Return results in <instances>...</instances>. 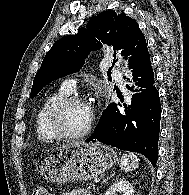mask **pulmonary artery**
<instances>
[{
	"label": "pulmonary artery",
	"instance_id": "obj_1",
	"mask_svg": "<svg viewBox=\"0 0 189 195\" xmlns=\"http://www.w3.org/2000/svg\"><path fill=\"white\" fill-rule=\"evenodd\" d=\"M76 80L75 79H66L63 84L62 88H64L66 91L72 93L76 89Z\"/></svg>",
	"mask_w": 189,
	"mask_h": 195
}]
</instances>
